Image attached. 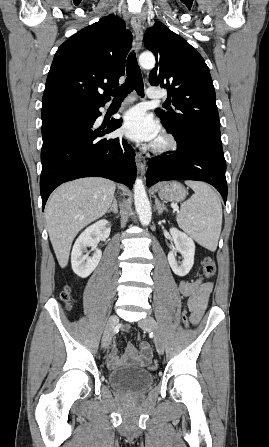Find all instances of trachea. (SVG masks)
Segmentation results:
<instances>
[{
	"label": "trachea",
	"mask_w": 269,
	"mask_h": 447,
	"mask_svg": "<svg viewBox=\"0 0 269 447\" xmlns=\"http://www.w3.org/2000/svg\"><path fill=\"white\" fill-rule=\"evenodd\" d=\"M127 77L125 83L121 87L114 90H107L109 95L114 97V100H123L132 90H136L138 95L144 96V84L141 75V70L137 63L136 55L131 52L126 62ZM165 105V104H164Z\"/></svg>",
	"instance_id": "trachea-1"
}]
</instances>
